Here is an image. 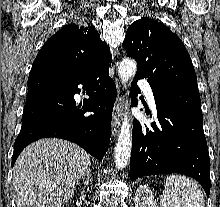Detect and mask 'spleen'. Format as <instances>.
I'll use <instances>...</instances> for the list:
<instances>
[{
	"label": "spleen",
	"instance_id": "1",
	"mask_svg": "<svg viewBox=\"0 0 220 207\" xmlns=\"http://www.w3.org/2000/svg\"><path fill=\"white\" fill-rule=\"evenodd\" d=\"M165 207H205L203 192L199 185L181 175L167 177L161 198Z\"/></svg>",
	"mask_w": 220,
	"mask_h": 207
}]
</instances>
